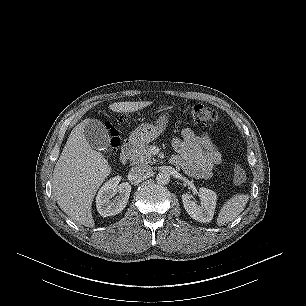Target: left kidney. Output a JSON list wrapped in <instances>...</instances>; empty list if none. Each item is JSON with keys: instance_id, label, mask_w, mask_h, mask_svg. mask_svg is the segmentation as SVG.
Here are the masks:
<instances>
[{"instance_id": "1", "label": "left kidney", "mask_w": 306, "mask_h": 306, "mask_svg": "<svg viewBox=\"0 0 306 306\" xmlns=\"http://www.w3.org/2000/svg\"><path fill=\"white\" fill-rule=\"evenodd\" d=\"M199 197L201 199V205H198L192 200L190 194L182 195V202L186 212L198 222L209 223L213 219L217 194L206 188L199 189Z\"/></svg>"}]
</instances>
